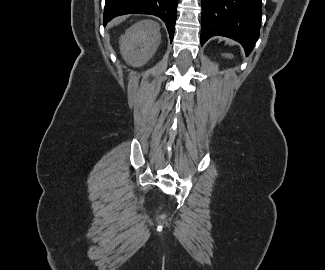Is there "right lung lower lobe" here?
<instances>
[{
  "instance_id": "1",
  "label": "right lung lower lobe",
  "mask_w": 325,
  "mask_h": 270,
  "mask_svg": "<svg viewBox=\"0 0 325 270\" xmlns=\"http://www.w3.org/2000/svg\"><path fill=\"white\" fill-rule=\"evenodd\" d=\"M178 0H106L104 26L112 18L129 13L151 14L161 18L173 40Z\"/></svg>"
}]
</instances>
